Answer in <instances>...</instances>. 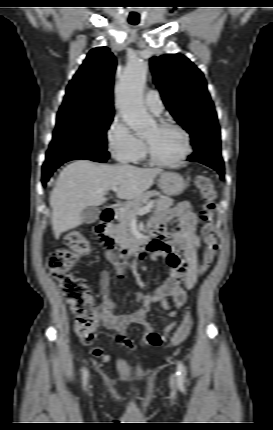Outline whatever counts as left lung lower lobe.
Wrapping results in <instances>:
<instances>
[{"label":"left lung lower lobe","mask_w":273,"mask_h":430,"mask_svg":"<svg viewBox=\"0 0 273 430\" xmlns=\"http://www.w3.org/2000/svg\"><path fill=\"white\" fill-rule=\"evenodd\" d=\"M187 161H196L203 163L219 172L221 178H224V163L221 157L220 143L207 142L198 150L190 155Z\"/></svg>","instance_id":"1"}]
</instances>
